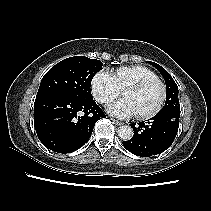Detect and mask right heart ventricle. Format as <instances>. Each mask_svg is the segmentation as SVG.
Masks as SVG:
<instances>
[{
    "mask_svg": "<svg viewBox=\"0 0 211 211\" xmlns=\"http://www.w3.org/2000/svg\"><path fill=\"white\" fill-rule=\"evenodd\" d=\"M113 75L121 90L141 80L158 78V75L152 69L142 65L119 67Z\"/></svg>",
    "mask_w": 211,
    "mask_h": 211,
    "instance_id": "right-heart-ventricle-1",
    "label": "right heart ventricle"
}]
</instances>
